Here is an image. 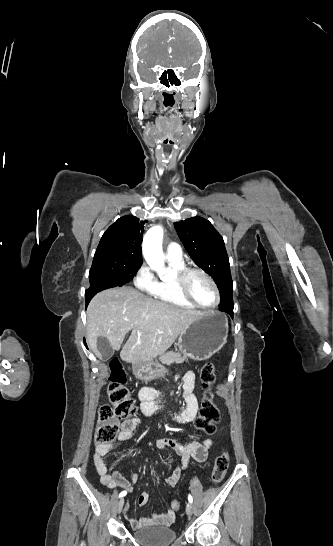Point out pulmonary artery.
<instances>
[{
    "mask_svg": "<svg viewBox=\"0 0 333 546\" xmlns=\"http://www.w3.org/2000/svg\"><path fill=\"white\" fill-rule=\"evenodd\" d=\"M166 258L173 261H183V253L179 244L172 242L166 249Z\"/></svg>",
    "mask_w": 333,
    "mask_h": 546,
    "instance_id": "e3ab8cb5",
    "label": "pulmonary artery"
}]
</instances>
